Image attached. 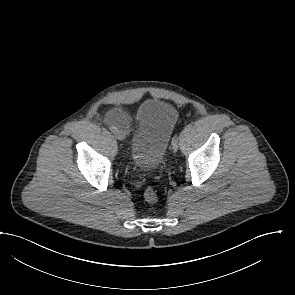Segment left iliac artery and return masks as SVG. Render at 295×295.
<instances>
[{"instance_id": "1", "label": "left iliac artery", "mask_w": 295, "mask_h": 295, "mask_svg": "<svg viewBox=\"0 0 295 295\" xmlns=\"http://www.w3.org/2000/svg\"><path fill=\"white\" fill-rule=\"evenodd\" d=\"M178 141V135L175 134L174 137L172 138V143Z\"/></svg>"}]
</instances>
